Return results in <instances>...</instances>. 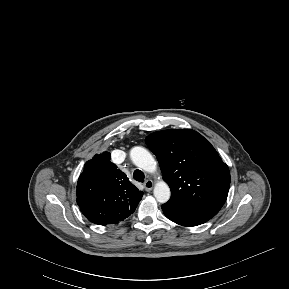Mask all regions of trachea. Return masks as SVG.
<instances>
[{"label": "trachea", "mask_w": 289, "mask_h": 289, "mask_svg": "<svg viewBox=\"0 0 289 289\" xmlns=\"http://www.w3.org/2000/svg\"><path fill=\"white\" fill-rule=\"evenodd\" d=\"M133 178L138 182H144L145 175L141 170H135L133 173Z\"/></svg>", "instance_id": "1"}]
</instances>
